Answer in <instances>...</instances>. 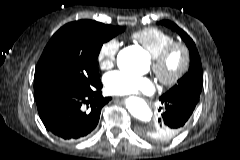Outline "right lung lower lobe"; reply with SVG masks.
Wrapping results in <instances>:
<instances>
[{"instance_id":"98d812e1","label":"right lung lower lobe","mask_w":240,"mask_h":160,"mask_svg":"<svg viewBox=\"0 0 240 160\" xmlns=\"http://www.w3.org/2000/svg\"><path fill=\"white\" fill-rule=\"evenodd\" d=\"M102 84L72 90L54 84L35 92L39 116L48 131L65 140H78L98 124L102 107L111 97H103Z\"/></svg>"}]
</instances>
